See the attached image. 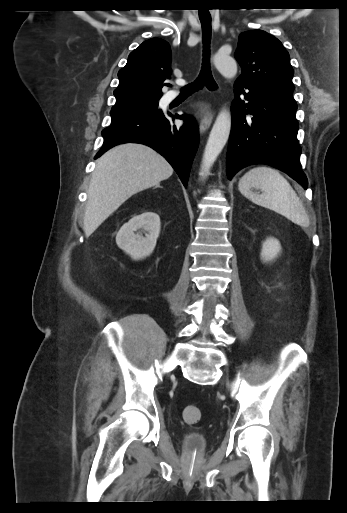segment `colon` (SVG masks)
I'll return each mask as SVG.
<instances>
[{"instance_id":"obj_1","label":"colon","mask_w":347,"mask_h":513,"mask_svg":"<svg viewBox=\"0 0 347 513\" xmlns=\"http://www.w3.org/2000/svg\"><path fill=\"white\" fill-rule=\"evenodd\" d=\"M182 414L183 419L187 424H196L201 419V411L194 405L185 406Z\"/></svg>"}]
</instances>
